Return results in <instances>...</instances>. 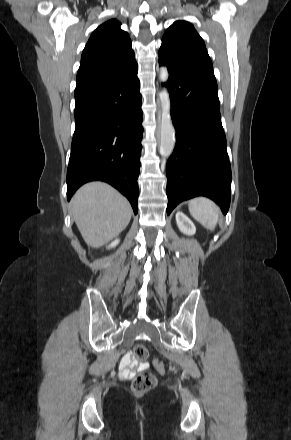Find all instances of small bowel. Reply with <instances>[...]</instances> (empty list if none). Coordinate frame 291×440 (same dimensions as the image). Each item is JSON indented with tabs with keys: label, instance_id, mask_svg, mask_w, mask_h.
<instances>
[{
	"label": "small bowel",
	"instance_id": "small-bowel-1",
	"mask_svg": "<svg viewBox=\"0 0 291 440\" xmlns=\"http://www.w3.org/2000/svg\"><path fill=\"white\" fill-rule=\"evenodd\" d=\"M149 364L144 361L138 360L133 353H126L119 365L120 374L124 377L133 376L137 372L147 369Z\"/></svg>",
	"mask_w": 291,
	"mask_h": 440
}]
</instances>
